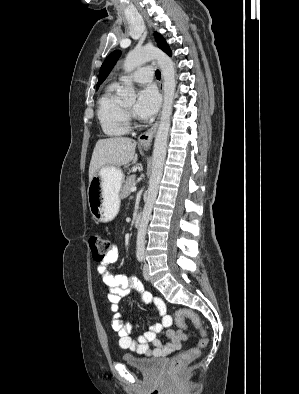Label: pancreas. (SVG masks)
I'll use <instances>...</instances> for the list:
<instances>
[{
  "mask_svg": "<svg viewBox=\"0 0 299 394\" xmlns=\"http://www.w3.org/2000/svg\"><path fill=\"white\" fill-rule=\"evenodd\" d=\"M135 178H136L135 175H131V176L127 177V179L124 181V184H123L121 192H120L121 199H124L130 195L131 187L135 186Z\"/></svg>",
  "mask_w": 299,
  "mask_h": 394,
  "instance_id": "obj_1",
  "label": "pancreas"
}]
</instances>
